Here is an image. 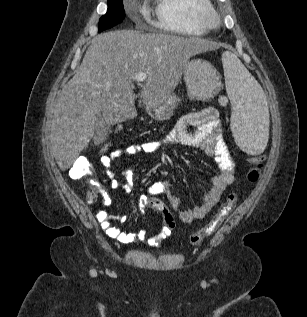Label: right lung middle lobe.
I'll return each instance as SVG.
<instances>
[{"instance_id":"obj_1","label":"right lung middle lobe","mask_w":307,"mask_h":317,"mask_svg":"<svg viewBox=\"0 0 307 317\" xmlns=\"http://www.w3.org/2000/svg\"><path fill=\"white\" fill-rule=\"evenodd\" d=\"M124 18L125 11L122 0H108V10L107 13L100 18L98 32L121 23Z\"/></svg>"}]
</instances>
